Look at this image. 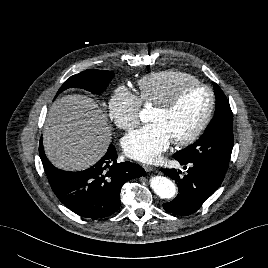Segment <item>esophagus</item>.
Instances as JSON below:
<instances>
[{
  "label": "esophagus",
  "mask_w": 268,
  "mask_h": 268,
  "mask_svg": "<svg viewBox=\"0 0 268 268\" xmlns=\"http://www.w3.org/2000/svg\"><path fill=\"white\" fill-rule=\"evenodd\" d=\"M143 168L145 169L146 172H151L154 170V168L150 165H143Z\"/></svg>",
  "instance_id": "obj_1"
}]
</instances>
